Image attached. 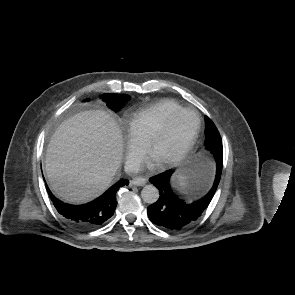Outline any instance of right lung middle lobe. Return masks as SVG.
<instances>
[{
  "mask_svg": "<svg viewBox=\"0 0 295 295\" xmlns=\"http://www.w3.org/2000/svg\"><path fill=\"white\" fill-rule=\"evenodd\" d=\"M103 99L110 109L117 112L130 100V96L125 94H104ZM85 101H89V99Z\"/></svg>",
  "mask_w": 295,
  "mask_h": 295,
  "instance_id": "right-lung-middle-lobe-1",
  "label": "right lung middle lobe"
}]
</instances>
